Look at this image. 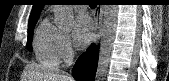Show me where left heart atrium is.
Returning a JSON list of instances; mask_svg holds the SVG:
<instances>
[{"instance_id":"obj_1","label":"left heart atrium","mask_w":169,"mask_h":81,"mask_svg":"<svg viewBox=\"0 0 169 81\" xmlns=\"http://www.w3.org/2000/svg\"><path fill=\"white\" fill-rule=\"evenodd\" d=\"M93 34V24L87 15H79L74 21L73 39L78 47L85 46Z\"/></svg>"}]
</instances>
